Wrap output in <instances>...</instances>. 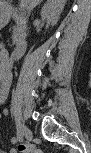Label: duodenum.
Returning <instances> with one entry per match:
<instances>
[{"label": "duodenum", "instance_id": "1", "mask_svg": "<svg viewBox=\"0 0 91 153\" xmlns=\"http://www.w3.org/2000/svg\"><path fill=\"white\" fill-rule=\"evenodd\" d=\"M25 11H26V9L21 10V16H22V13ZM20 19L22 21L23 28L26 29L27 24L22 20V17H20ZM28 42H29L28 37L25 34L22 35V37L18 41L15 48L12 50V52L10 54V58L12 60H17V59L21 58L27 50Z\"/></svg>", "mask_w": 91, "mask_h": 153}]
</instances>
